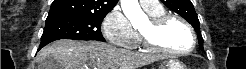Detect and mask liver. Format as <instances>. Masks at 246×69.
<instances>
[{"instance_id": "liver-1", "label": "liver", "mask_w": 246, "mask_h": 69, "mask_svg": "<svg viewBox=\"0 0 246 69\" xmlns=\"http://www.w3.org/2000/svg\"><path fill=\"white\" fill-rule=\"evenodd\" d=\"M52 57L62 69H137L159 59L154 54L137 53L98 41L61 39L37 55L39 66ZM39 69V68H38Z\"/></svg>"}]
</instances>
